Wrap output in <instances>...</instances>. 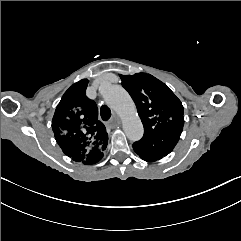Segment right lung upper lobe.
I'll return each mask as SVG.
<instances>
[{
    "mask_svg": "<svg viewBox=\"0 0 241 241\" xmlns=\"http://www.w3.org/2000/svg\"><path fill=\"white\" fill-rule=\"evenodd\" d=\"M88 82L82 79L64 93L52 120L55 139L64 154L84 165L100 161L108 141L97 106L86 96Z\"/></svg>",
    "mask_w": 241,
    "mask_h": 241,
    "instance_id": "cb5924a9",
    "label": "right lung upper lobe"
}]
</instances>
